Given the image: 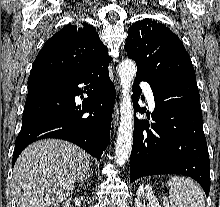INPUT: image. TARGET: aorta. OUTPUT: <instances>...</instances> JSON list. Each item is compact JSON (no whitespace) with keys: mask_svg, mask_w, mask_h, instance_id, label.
Segmentation results:
<instances>
[{"mask_svg":"<svg viewBox=\"0 0 220 207\" xmlns=\"http://www.w3.org/2000/svg\"><path fill=\"white\" fill-rule=\"evenodd\" d=\"M137 72L136 63L125 59L119 64L118 74L122 93L120 103V126L115 144V159L120 166L128 161L133 144V104L130 96L133 80Z\"/></svg>","mask_w":220,"mask_h":207,"instance_id":"762f6f07","label":"aorta"}]
</instances>
